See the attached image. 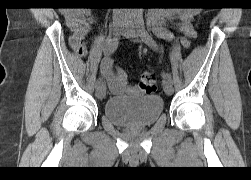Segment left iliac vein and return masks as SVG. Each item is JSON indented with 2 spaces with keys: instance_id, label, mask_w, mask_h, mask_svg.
Wrapping results in <instances>:
<instances>
[{
  "instance_id": "obj_1",
  "label": "left iliac vein",
  "mask_w": 251,
  "mask_h": 180,
  "mask_svg": "<svg viewBox=\"0 0 251 180\" xmlns=\"http://www.w3.org/2000/svg\"><path fill=\"white\" fill-rule=\"evenodd\" d=\"M122 35L133 42H141L142 38L138 31H136L133 24H127L122 32ZM163 89L167 95H172L174 89L172 82L167 79L163 80Z\"/></svg>"
}]
</instances>
